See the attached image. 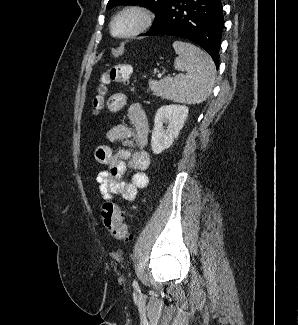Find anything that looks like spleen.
I'll return each instance as SVG.
<instances>
[{
  "instance_id": "spleen-1",
  "label": "spleen",
  "mask_w": 298,
  "mask_h": 325,
  "mask_svg": "<svg viewBox=\"0 0 298 325\" xmlns=\"http://www.w3.org/2000/svg\"><path fill=\"white\" fill-rule=\"evenodd\" d=\"M172 46L178 54L174 66L176 70L187 72V76L177 74L165 76L161 80L150 78L149 86L161 98L185 104H200L211 94L215 82V64L205 50L191 42L174 40Z\"/></svg>"
}]
</instances>
